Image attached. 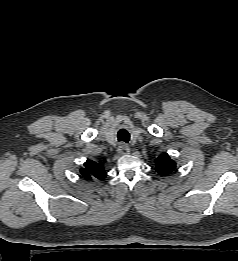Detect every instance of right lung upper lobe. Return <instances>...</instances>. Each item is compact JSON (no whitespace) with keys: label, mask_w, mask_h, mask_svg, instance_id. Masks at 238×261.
I'll use <instances>...</instances> for the list:
<instances>
[{"label":"right lung upper lobe","mask_w":238,"mask_h":261,"mask_svg":"<svg viewBox=\"0 0 238 261\" xmlns=\"http://www.w3.org/2000/svg\"><path fill=\"white\" fill-rule=\"evenodd\" d=\"M80 173L89 180H103L106 177L103 162H95L92 160H87L84 163V167L80 169Z\"/></svg>","instance_id":"1"}]
</instances>
